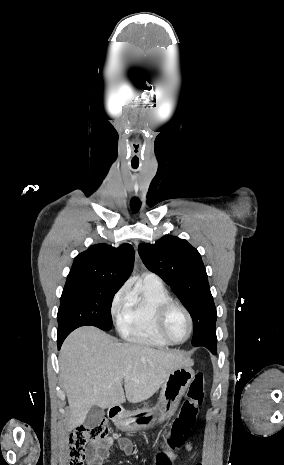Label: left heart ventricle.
Segmentation results:
<instances>
[{"label":"left heart ventricle","mask_w":284,"mask_h":465,"mask_svg":"<svg viewBox=\"0 0 284 465\" xmlns=\"http://www.w3.org/2000/svg\"><path fill=\"white\" fill-rule=\"evenodd\" d=\"M167 335L173 341H182L188 334L189 323L186 314L180 309H173L165 324Z\"/></svg>","instance_id":"obj_1"}]
</instances>
